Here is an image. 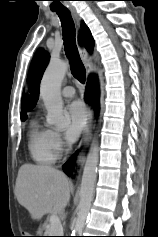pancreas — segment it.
Segmentation results:
<instances>
[{
	"mask_svg": "<svg viewBox=\"0 0 158 237\" xmlns=\"http://www.w3.org/2000/svg\"><path fill=\"white\" fill-rule=\"evenodd\" d=\"M46 236H59V235H62L60 233H62V227L61 228H53L51 226V224H47L46 225V232H45Z\"/></svg>",
	"mask_w": 158,
	"mask_h": 237,
	"instance_id": "obj_1",
	"label": "pancreas"
}]
</instances>
